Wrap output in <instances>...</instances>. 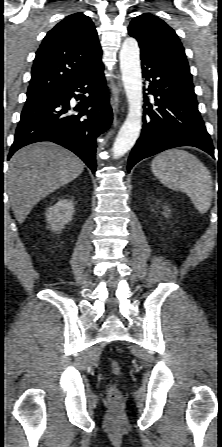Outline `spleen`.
Instances as JSON below:
<instances>
[{"mask_svg": "<svg viewBox=\"0 0 222 447\" xmlns=\"http://www.w3.org/2000/svg\"><path fill=\"white\" fill-rule=\"evenodd\" d=\"M151 168L163 185L186 193L201 214L208 211L212 179L207 167L197 157L184 150L170 149L157 155Z\"/></svg>", "mask_w": 222, "mask_h": 447, "instance_id": "spleen-1", "label": "spleen"}]
</instances>
